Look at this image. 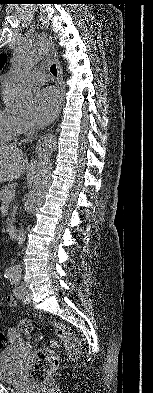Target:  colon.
<instances>
[{
  "mask_svg": "<svg viewBox=\"0 0 153 393\" xmlns=\"http://www.w3.org/2000/svg\"><path fill=\"white\" fill-rule=\"evenodd\" d=\"M54 326L57 329V334L63 342L64 349L69 359L78 360L82 354V343L81 341L65 326L59 323H55ZM19 328L24 334H31L32 325L28 320H21L19 322ZM5 345V337L0 333V349ZM56 347V344H53ZM59 364V358L54 351L48 349L37 350L30 362L26 378L30 381L38 390H41L46 381L51 376L52 372L56 369Z\"/></svg>",
  "mask_w": 153,
  "mask_h": 393,
  "instance_id": "5ec220e1",
  "label": "colon"
}]
</instances>
